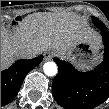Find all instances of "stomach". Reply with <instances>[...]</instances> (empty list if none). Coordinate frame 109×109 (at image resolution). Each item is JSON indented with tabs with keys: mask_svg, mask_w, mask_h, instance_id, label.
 Masks as SVG:
<instances>
[{
	"mask_svg": "<svg viewBox=\"0 0 109 109\" xmlns=\"http://www.w3.org/2000/svg\"><path fill=\"white\" fill-rule=\"evenodd\" d=\"M59 55L70 60L81 70L92 68L101 58L100 47L90 42L73 44L64 54Z\"/></svg>",
	"mask_w": 109,
	"mask_h": 109,
	"instance_id": "stomach-1",
	"label": "stomach"
}]
</instances>
